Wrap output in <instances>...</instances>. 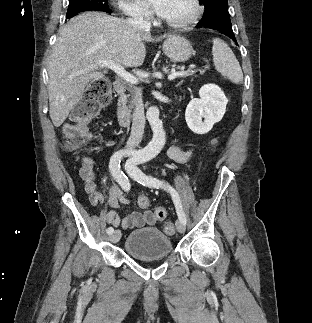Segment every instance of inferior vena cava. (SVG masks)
I'll use <instances>...</instances> for the list:
<instances>
[{
    "label": "inferior vena cava",
    "mask_w": 312,
    "mask_h": 323,
    "mask_svg": "<svg viewBox=\"0 0 312 323\" xmlns=\"http://www.w3.org/2000/svg\"><path fill=\"white\" fill-rule=\"evenodd\" d=\"M130 16L131 18H127V20H125L126 24H131V26H133L135 30H138V32H147V30H150L151 22H148V20H146V14L144 10H140V8H137V10H132V12H130ZM144 128L145 114L142 96L141 94H137L131 134L129 136V140H127L126 142V148H136V146L140 144L143 138Z\"/></svg>",
    "instance_id": "inferior-vena-cava-1"
}]
</instances>
